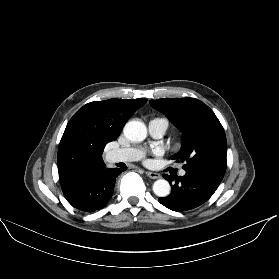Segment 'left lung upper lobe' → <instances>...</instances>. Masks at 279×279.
Here are the masks:
<instances>
[{"mask_svg":"<svg viewBox=\"0 0 279 279\" xmlns=\"http://www.w3.org/2000/svg\"><path fill=\"white\" fill-rule=\"evenodd\" d=\"M182 132L181 150L172 159L185 162V171L202 173L221 183L226 171L227 141L224 129L214 112L195 98L151 100Z\"/></svg>","mask_w":279,"mask_h":279,"instance_id":"1","label":"left lung upper lobe"}]
</instances>
